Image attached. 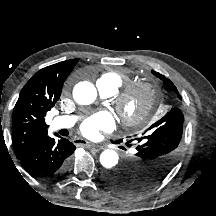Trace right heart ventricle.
<instances>
[{
	"label": "right heart ventricle",
	"mask_w": 216,
	"mask_h": 216,
	"mask_svg": "<svg viewBox=\"0 0 216 216\" xmlns=\"http://www.w3.org/2000/svg\"><path fill=\"white\" fill-rule=\"evenodd\" d=\"M99 80L109 84L114 92L121 88L125 83L130 80V76L124 69L109 70L104 72Z\"/></svg>",
	"instance_id": "e07e8e85"
}]
</instances>
